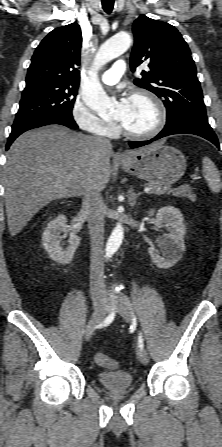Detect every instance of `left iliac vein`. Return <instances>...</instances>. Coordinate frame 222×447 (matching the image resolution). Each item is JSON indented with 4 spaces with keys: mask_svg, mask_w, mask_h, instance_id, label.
I'll use <instances>...</instances> for the list:
<instances>
[{
    "mask_svg": "<svg viewBox=\"0 0 222 447\" xmlns=\"http://www.w3.org/2000/svg\"><path fill=\"white\" fill-rule=\"evenodd\" d=\"M114 299H115L117 311L122 316L124 321L131 322L132 310H131L129 304L124 299H122L120 297H114ZM137 357H138V360L142 364H147L149 362V357H148L147 351L140 344L138 346Z\"/></svg>",
    "mask_w": 222,
    "mask_h": 447,
    "instance_id": "obj_1",
    "label": "left iliac vein"
}]
</instances>
